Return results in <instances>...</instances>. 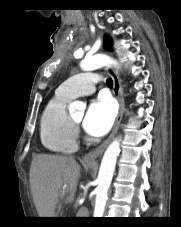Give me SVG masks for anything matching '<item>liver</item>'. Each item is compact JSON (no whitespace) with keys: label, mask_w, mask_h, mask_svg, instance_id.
<instances>
[{"label":"liver","mask_w":181,"mask_h":227,"mask_svg":"<svg viewBox=\"0 0 181 227\" xmlns=\"http://www.w3.org/2000/svg\"><path fill=\"white\" fill-rule=\"evenodd\" d=\"M80 166L73 157L39 154L30 168L33 202L40 217H57L61 201H74Z\"/></svg>","instance_id":"liver-1"}]
</instances>
